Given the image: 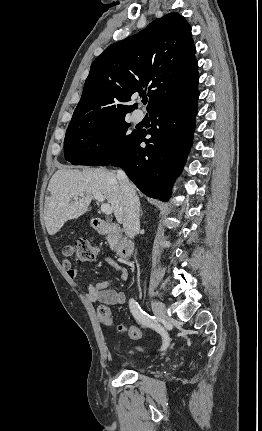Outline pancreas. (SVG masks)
Listing matches in <instances>:
<instances>
[{"label":"pancreas","instance_id":"obj_1","mask_svg":"<svg viewBox=\"0 0 262 431\" xmlns=\"http://www.w3.org/2000/svg\"><path fill=\"white\" fill-rule=\"evenodd\" d=\"M108 242L110 244L111 249L114 250L116 247V243L110 237L108 238Z\"/></svg>","mask_w":262,"mask_h":431}]
</instances>
